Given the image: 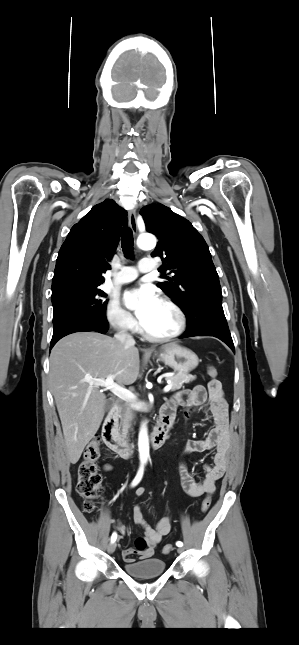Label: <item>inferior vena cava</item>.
Instances as JSON below:
<instances>
[{"label":"inferior vena cava","instance_id":"obj_1","mask_svg":"<svg viewBox=\"0 0 299 645\" xmlns=\"http://www.w3.org/2000/svg\"><path fill=\"white\" fill-rule=\"evenodd\" d=\"M115 338L125 347H131L135 345L134 338L130 334L124 331H120L117 334H115ZM127 417H128V411L126 410V408H123L122 417H121V420L123 423L127 421Z\"/></svg>","mask_w":299,"mask_h":645}]
</instances>
